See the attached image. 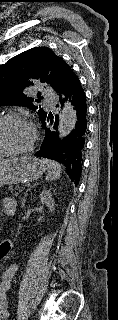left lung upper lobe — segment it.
<instances>
[{"mask_svg":"<svg viewBox=\"0 0 118 320\" xmlns=\"http://www.w3.org/2000/svg\"><path fill=\"white\" fill-rule=\"evenodd\" d=\"M73 73L71 67L51 49L35 47L27 50L0 66V105L26 106L36 111L40 120L47 115L34 102L41 100L29 97L28 88L39 81L57 93Z\"/></svg>","mask_w":118,"mask_h":320,"instance_id":"obj_1","label":"left lung upper lobe"}]
</instances>
